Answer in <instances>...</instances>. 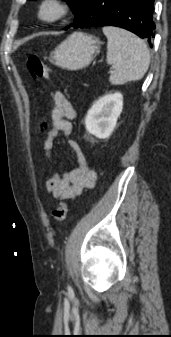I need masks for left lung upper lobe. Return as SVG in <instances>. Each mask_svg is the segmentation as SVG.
<instances>
[{"mask_svg":"<svg viewBox=\"0 0 171 337\" xmlns=\"http://www.w3.org/2000/svg\"><path fill=\"white\" fill-rule=\"evenodd\" d=\"M69 4V6L74 11V23L77 21L79 16L81 15L87 0H65ZM74 24H71L73 26Z\"/></svg>","mask_w":171,"mask_h":337,"instance_id":"obj_1","label":"left lung upper lobe"}]
</instances>
